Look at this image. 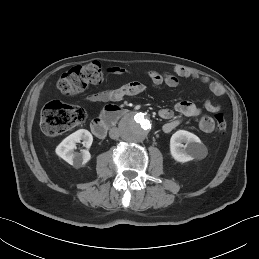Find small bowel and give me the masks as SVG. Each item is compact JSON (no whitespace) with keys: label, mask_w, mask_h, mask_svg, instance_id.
Returning a JSON list of instances; mask_svg holds the SVG:
<instances>
[{"label":"small bowel","mask_w":259,"mask_h":259,"mask_svg":"<svg viewBox=\"0 0 259 259\" xmlns=\"http://www.w3.org/2000/svg\"><path fill=\"white\" fill-rule=\"evenodd\" d=\"M114 75H125L127 70L123 67L114 66L109 69ZM147 76L154 87L166 86L169 88L177 87L180 78H193L209 85L211 91L216 95H222L224 88L218 82L211 80L207 76L201 75L196 71L184 66H175L171 72L160 73L157 71L147 72ZM145 90V85L139 81H130L116 88L99 90L87 97V101L95 102H118L125 97L133 96L142 93ZM205 109L209 112H215L219 109V105L212 103L209 100L204 102ZM174 110L184 118L201 116L199 128L204 133L214 131L215 123L209 116L202 115V109L195 103L187 100L179 101L175 104ZM159 116L167 120L163 126L165 133L171 132L180 123V119H174V112L171 109L164 108L159 111Z\"/></svg>","instance_id":"obj_1"}]
</instances>
